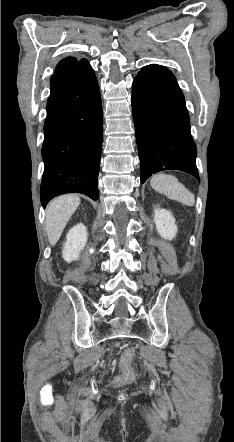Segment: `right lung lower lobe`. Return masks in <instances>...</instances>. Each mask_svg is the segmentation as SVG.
<instances>
[{
    "mask_svg": "<svg viewBox=\"0 0 234 442\" xmlns=\"http://www.w3.org/2000/svg\"><path fill=\"white\" fill-rule=\"evenodd\" d=\"M47 102L42 157L43 206L64 193L98 199L102 147V104L98 82L87 62L54 74Z\"/></svg>",
    "mask_w": 234,
    "mask_h": 442,
    "instance_id": "98d812e1",
    "label": "right lung lower lobe"
}]
</instances>
